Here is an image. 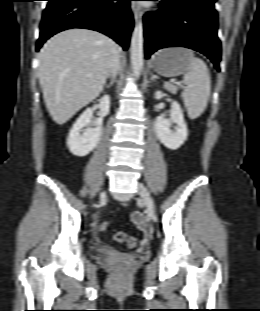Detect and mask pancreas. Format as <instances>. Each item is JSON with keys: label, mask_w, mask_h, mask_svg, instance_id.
<instances>
[{"label": "pancreas", "mask_w": 260, "mask_h": 311, "mask_svg": "<svg viewBox=\"0 0 260 311\" xmlns=\"http://www.w3.org/2000/svg\"><path fill=\"white\" fill-rule=\"evenodd\" d=\"M164 88L172 94H176L178 91V87L171 83H165Z\"/></svg>", "instance_id": "obj_1"}]
</instances>
